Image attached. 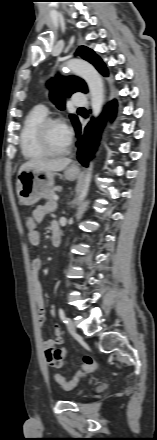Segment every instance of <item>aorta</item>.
Returning <instances> with one entry per match:
<instances>
[{
    "label": "aorta",
    "mask_w": 157,
    "mask_h": 440,
    "mask_svg": "<svg viewBox=\"0 0 157 440\" xmlns=\"http://www.w3.org/2000/svg\"><path fill=\"white\" fill-rule=\"evenodd\" d=\"M65 68L80 77H82L89 88V94L91 99L92 114L94 117H98L101 112L103 99H104V89L103 82L100 74L97 70L88 62L84 60H71L65 64ZM93 163H90L88 171L86 173L84 184L79 195V201H82L89 190V185L91 181Z\"/></svg>",
    "instance_id": "762f6f07"
}]
</instances>
